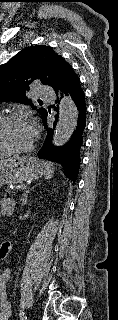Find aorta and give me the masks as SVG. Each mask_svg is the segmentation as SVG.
Masks as SVG:
<instances>
[{
  "mask_svg": "<svg viewBox=\"0 0 118 320\" xmlns=\"http://www.w3.org/2000/svg\"><path fill=\"white\" fill-rule=\"evenodd\" d=\"M78 111L69 97H63L59 105V120L53 134L52 144L62 146L71 137L77 125Z\"/></svg>",
  "mask_w": 118,
  "mask_h": 320,
  "instance_id": "1",
  "label": "aorta"
}]
</instances>
